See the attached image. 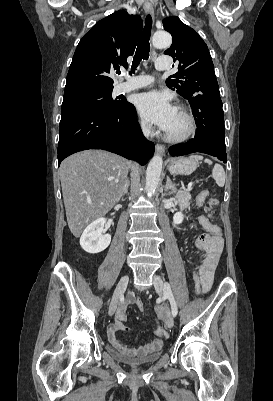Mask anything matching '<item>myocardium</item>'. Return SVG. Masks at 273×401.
<instances>
[{
    "label": "myocardium",
    "instance_id": "f54148a6",
    "mask_svg": "<svg viewBox=\"0 0 273 401\" xmlns=\"http://www.w3.org/2000/svg\"><path fill=\"white\" fill-rule=\"evenodd\" d=\"M176 110L180 111L181 114H183L188 122H189V129L186 133L182 134V135H172L167 133L166 131L164 132V137L168 142H172V143H180V142H185L189 139H191L197 131L198 128V123H197V119L194 116V114H192L188 109H186L184 106H177Z\"/></svg>",
    "mask_w": 273,
    "mask_h": 401
}]
</instances>
